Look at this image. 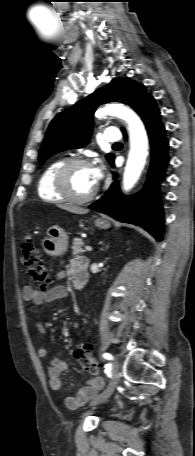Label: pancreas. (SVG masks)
I'll use <instances>...</instances> for the list:
<instances>
[{
	"instance_id": "1",
	"label": "pancreas",
	"mask_w": 195,
	"mask_h": 456,
	"mask_svg": "<svg viewBox=\"0 0 195 456\" xmlns=\"http://www.w3.org/2000/svg\"><path fill=\"white\" fill-rule=\"evenodd\" d=\"M84 245L82 239L74 238L72 241V255L76 256L84 252L82 246Z\"/></svg>"
}]
</instances>
